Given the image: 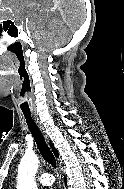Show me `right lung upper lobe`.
I'll return each mask as SVG.
<instances>
[{"label":"right lung upper lobe","mask_w":124,"mask_h":189,"mask_svg":"<svg viewBox=\"0 0 124 189\" xmlns=\"http://www.w3.org/2000/svg\"><path fill=\"white\" fill-rule=\"evenodd\" d=\"M51 148L56 156H58V151L54 148V146L51 144Z\"/></svg>","instance_id":"obj_1"}]
</instances>
